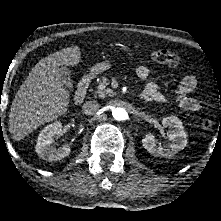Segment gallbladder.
I'll list each match as a JSON object with an SVG mask.
<instances>
[{
  "label": "gallbladder",
  "mask_w": 221,
  "mask_h": 221,
  "mask_svg": "<svg viewBox=\"0 0 221 221\" xmlns=\"http://www.w3.org/2000/svg\"><path fill=\"white\" fill-rule=\"evenodd\" d=\"M58 73L60 74V80L65 85V87L69 90H72L73 82L71 80V73L68 67L60 66L58 69Z\"/></svg>",
  "instance_id": "obj_1"
}]
</instances>
